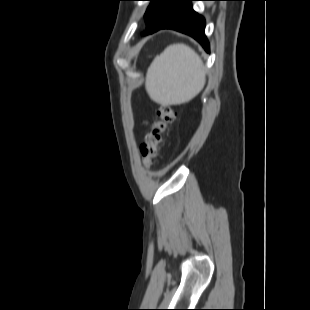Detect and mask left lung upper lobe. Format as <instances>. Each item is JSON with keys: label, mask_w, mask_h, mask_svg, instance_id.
Here are the masks:
<instances>
[{"label": "left lung upper lobe", "mask_w": 310, "mask_h": 310, "mask_svg": "<svg viewBox=\"0 0 310 310\" xmlns=\"http://www.w3.org/2000/svg\"><path fill=\"white\" fill-rule=\"evenodd\" d=\"M151 1L144 18L145 34H151L170 24L189 4L190 0H148Z\"/></svg>", "instance_id": "left-lung-upper-lobe-1"}]
</instances>
